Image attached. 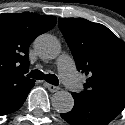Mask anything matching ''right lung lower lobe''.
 Segmentation results:
<instances>
[{
	"mask_svg": "<svg viewBox=\"0 0 125 125\" xmlns=\"http://www.w3.org/2000/svg\"><path fill=\"white\" fill-rule=\"evenodd\" d=\"M35 85V81L25 84H17L0 91V116L10 114L18 110L25 102L28 93Z\"/></svg>",
	"mask_w": 125,
	"mask_h": 125,
	"instance_id": "98d812e1",
	"label": "right lung lower lobe"
}]
</instances>
